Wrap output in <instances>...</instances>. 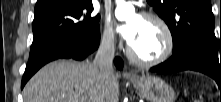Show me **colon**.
<instances>
[{
  "mask_svg": "<svg viewBox=\"0 0 221 102\" xmlns=\"http://www.w3.org/2000/svg\"><path fill=\"white\" fill-rule=\"evenodd\" d=\"M193 102H202V100L199 97H196L193 99Z\"/></svg>",
  "mask_w": 221,
  "mask_h": 102,
  "instance_id": "colon-1",
  "label": "colon"
}]
</instances>
